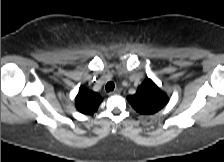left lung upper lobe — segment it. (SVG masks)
<instances>
[{
	"label": "left lung upper lobe",
	"instance_id": "1",
	"mask_svg": "<svg viewBox=\"0 0 224 162\" xmlns=\"http://www.w3.org/2000/svg\"><path fill=\"white\" fill-rule=\"evenodd\" d=\"M132 107L141 114H153L168 102L167 95L149 78L137 89L136 94L127 97Z\"/></svg>",
	"mask_w": 224,
	"mask_h": 162
}]
</instances>
